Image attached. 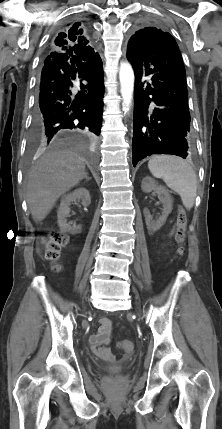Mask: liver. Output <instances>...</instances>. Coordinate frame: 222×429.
<instances>
[{"label": "liver", "instance_id": "obj_1", "mask_svg": "<svg viewBox=\"0 0 222 429\" xmlns=\"http://www.w3.org/2000/svg\"><path fill=\"white\" fill-rule=\"evenodd\" d=\"M85 175V160L73 151L56 150L42 155L31 167L26 182V199L33 220H44L58 198Z\"/></svg>", "mask_w": 222, "mask_h": 429}]
</instances>
